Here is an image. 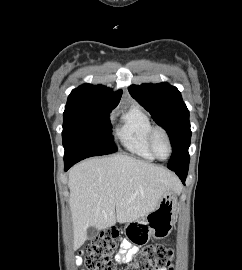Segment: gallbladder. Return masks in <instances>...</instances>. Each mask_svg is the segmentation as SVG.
<instances>
[{"mask_svg":"<svg viewBox=\"0 0 242 270\" xmlns=\"http://www.w3.org/2000/svg\"><path fill=\"white\" fill-rule=\"evenodd\" d=\"M97 234V229L95 227H89L87 229V235L90 239H93Z\"/></svg>","mask_w":242,"mask_h":270,"instance_id":"obj_1","label":"gallbladder"}]
</instances>
